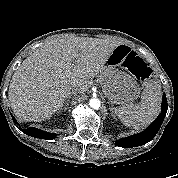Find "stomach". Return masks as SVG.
Segmentation results:
<instances>
[{
  "mask_svg": "<svg viewBox=\"0 0 178 178\" xmlns=\"http://www.w3.org/2000/svg\"><path fill=\"white\" fill-rule=\"evenodd\" d=\"M116 50L117 47L100 73V84L111 103L127 106L139 97L140 86L128 70L127 54L118 56Z\"/></svg>",
  "mask_w": 178,
  "mask_h": 178,
  "instance_id": "0dacf381",
  "label": "stomach"
}]
</instances>
